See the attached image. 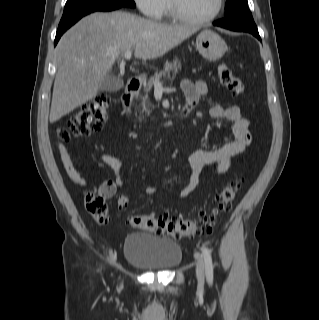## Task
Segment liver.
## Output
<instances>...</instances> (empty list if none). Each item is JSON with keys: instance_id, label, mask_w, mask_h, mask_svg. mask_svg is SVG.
<instances>
[{"instance_id": "obj_1", "label": "liver", "mask_w": 319, "mask_h": 320, "mask_svg": "<svg viewBox=\"0 0 319 320\" xmlns=\"http://www.w3.org/2000/svg\"><path fill=\"white\" fill-rule=\"evenodd\" d=\"M197 31L188 25L156 22L116 11L82 18L56 47L50 122L96 97L116 60L128 50L138 59H156Z\"/></svg>"}]
</instances>
